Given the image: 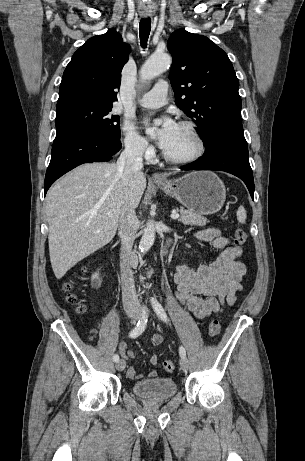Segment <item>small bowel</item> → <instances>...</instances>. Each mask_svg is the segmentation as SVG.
Segmentation results:
<instances>
[{"mask_svg": "<svg viewBox=\"0 0 305 461\" xmlns=\"http://www.w3.org/2000/svg\"><path fill=\"white\" fill-rule=\"evenodd\" d=\"M195 237L208 242L216 249H222L220 255L212 262L192 269L186 265L176 266L174 282L177 287V297L185 309L194 314L197 319H205L213 313L223 310L225 303L232 305L236 301V293L241 290V280L246 274V266L238 258L242 250L237 246H230V240L222 236L218 228H207L195 233ZM150 343L159 347L164 338L155 334L149 339ZM119 351L125 358L133 357L127 344L121 343ZM153 366L159 364V358L154 353L150 357ZM127 375L137 378L135 370L130 367ZM155 377V370L149 372Z\"/></svg>", "mask_w": 305, "mask_h": 461, "instance_id": "small-bowel-1", "label": "small bowel"}]
</instances>
